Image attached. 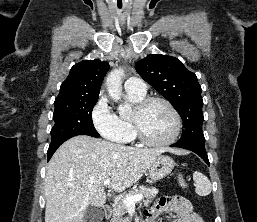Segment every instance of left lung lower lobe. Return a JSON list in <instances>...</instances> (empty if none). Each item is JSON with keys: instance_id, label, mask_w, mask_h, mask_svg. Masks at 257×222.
Here are the masks:
<instances>
[{"instance_id": "obj_1", "label": "left lung lower lobe", "mask_w": 257, "mask_h": 222, "mask_svg": "<svg viewBox=\"0 0 257 222\" xmlns=\"http://www.w3.org/2000/svg\"><path fill=\"white\" fill-rule=\"evenodd\" d=\"M171 147H179V148H183V149L193 151L197 155H199L209 165L207 152L205 150V143H198V142L179 143V142H177L175 144H172Z\"/></svg>"}]
</instances>
